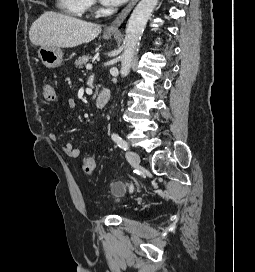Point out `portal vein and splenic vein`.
Wrapping results in <instances>:
<instances>
[{
	"mask_svg": "<svg viewBox=\"0 0 255 272\" xmlns=\"http://www.w3.org/2000/svg\"><path fill=\"white\" fill-rule=\"evenodd\" d=\"M86 69H87V70H91V69H92V65H91V64H87V65H86Z\"/></svg>",
	"mask_w": 255,
	"mask_h": 272,
	"instance_id": "18ae733b",
	"label": "portal vein and splenic vein"
}]
</instances>
